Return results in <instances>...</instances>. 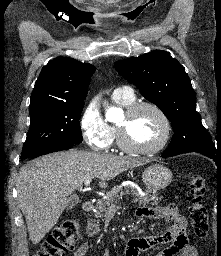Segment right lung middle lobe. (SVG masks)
<instances>
[{"label": "right lung middle lobe", "instance_id": "dd1d6c3e", "mask_svg": "<svg viewBox=\"0 0 221 256\" xmlns=\"http://www.w3.org/2000/svg\"><path fill=\"white\" fill-rule=\"evenodd\" d=\"M83 107L84 102H79L30 110L31 125L21 158H29L40 150L56 144L81 143L79 119Z\"/></svg>", "mask_w": 221, "mask_h": 256}]
</instances>
